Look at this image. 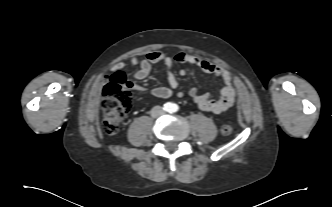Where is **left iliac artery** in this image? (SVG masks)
Segmentation results:
<instances>
[{"label": "left iliac artery", "instance_id": "left-iliac-artery-1", "mask_svg": "<svg viewBox=\"0 0 332 207\" xmlns=\"http://www.w3.org/2000/svg\"><path fill=\"white\" fill-rule=\"evenodd\" d=\"M179 110V106L177 104H173L171 107V112H177Z\"/></svg>", "mask_w": 332, "mask_h": 207}]
</instances>
